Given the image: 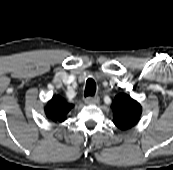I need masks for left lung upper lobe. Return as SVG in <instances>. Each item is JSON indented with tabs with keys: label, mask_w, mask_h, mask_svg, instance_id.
Wrapping results in <instances>:
<instances>
[{
	"label": "left lung upper lobe",
	"mask_w": 173,
	"mask_h": 170,
	"mask_svg": "<svg viewBox=\"0 0 173 170\" xmlns=\"http://www.w3.org/2000/svg\"><path fill=\"white\" fill-rule=\"evenodd\" d=\"M112 110L114 124L122 130L135 126L142 112L141 105L125 93H121L114 98Z\"/></svg>",
	"instance_id": "left-lung-upper-lobe-1"
}]
</instances>
